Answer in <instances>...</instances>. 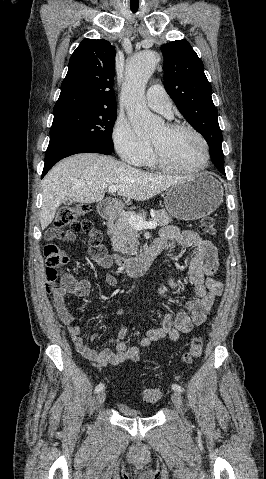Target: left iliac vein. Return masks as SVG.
<instances>
[{"label": "left iliac vein", "mask_w": 266, "mask_h": 479, "mask_svg": "<svg viewBox=\"0 0 266 479\" xmlns=\"http://www.w3.org/2000/svg\"><path fill=\"white\" fill-rule=\"evenodd\" d=\"M171 400L173 402V404L175 405V407L178 409V411L181 413L182 417H183V413H182V397L180 395L179 392L177 391H174L172 394H171ZM184 422L187 423V421L183 418Z\"/></svg>", "instance_id": "obj_1"}]
</instances>
